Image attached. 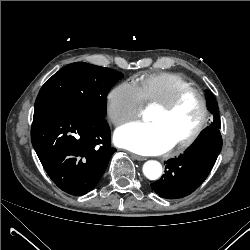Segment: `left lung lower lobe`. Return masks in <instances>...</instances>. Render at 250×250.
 Listing matches in <instances>:
<instances>
[{
    "label": "left lung lower lobe",
    "instance_id": "0a47b994",
    "mask_svg": "<svg viewBox=\"0 0 250 250\" xmlns=\"http://www.w3.org/2000/svg\"><path fill=\"white\" fill-rule=\"evenodd\" d=\"M222 148L219 129L207 127L178 158L167 161L165 174L151 184L160 197L177 199L193 192L206 179Z\"/></svg>",
    "mask_w": 250,
    "mask_h": 250
}]
</instances>
